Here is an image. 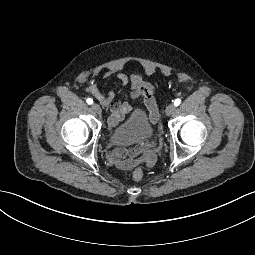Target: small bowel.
<instances>
[{"label":"small bowel","mask_w":255,"mask_h":255,"mask_svg":"<svg viewBox=\"0 0 255 255\" xmlns=\"http://www.w3.org/2000/svg\"><path fill=\"white\" fill-rule=\"evenodd\" d=\"M103 78L117 81L121 86L130 85V89L124 93V99H117L113 90L101 92L97 84L93 81L88 87V92L102 106L109 108L110 116L108 120L109 130H112L123 118L132 110L128 98H142L149 116L153 122L158 120V108L154 97V87L139 74L130 76L118 70H107L103 73ZM154 142L137 144L132 149L117 148L111 156L110 162L120 170H132L140 164L153 167L156 162Z\"/></svg>","instance_id":"c3829d8e"}]
</instances>
